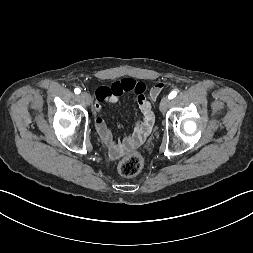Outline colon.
<instances>
[{
	"label": "colon",
	"mask_w": 253,
	"mask_h": 253,
	"mask_svg": "<svg viewBox=\"0 0 253 253\" xmlns=\"http://www.w3.org/2000/svg\"><path fill=\"white\" fill-rule=\"evenodd\" d=\"M143 168V159L139 154H130L123 157L118 163V171L122 176L137 175Z\"/></svg>",
	"instance_id": "5ec220e1"
}]
</instances>
